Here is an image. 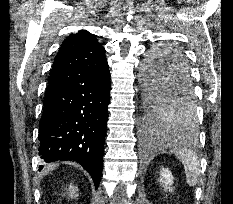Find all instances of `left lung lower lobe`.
Returning <instances> with one entry per match:
<instances>
[{
  "instance_id": "0a47b994",
  "label": "left lung lower lobe",
  "mask_w": 233,
  "mask_h": 204,
  "mask_svg": "<svg viewBox=\"0 0 233 204\" xmlns=\"http://www.w3.org/2000/svg\"><path fill=\"white\" fill-rule=\"evenodd\" d=\"M176 71L174 75L168 80V84L163 87L166 89L169 93V96L172 98L173 94H176L178 92L185 91L187 89H192V83H191V77H190V71L187 63L183 60L178 62ZM146 129L148 133V139L151 140V138L154 137L153 134L157 133H169L171 131L165 130L158 125H156L155 122L148 121L146 122Z\"/></svg>"
}]
</instances>
